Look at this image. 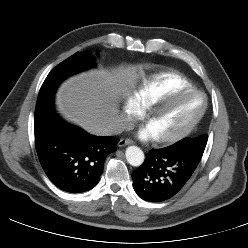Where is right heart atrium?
Returning <instances> with one entry per match:
<instances>
[{"label":"right heart atrium","mask_w":248,"mask_h":248,"mask_svg":"<svg viewBox=\"0 0 248 248\" xmlns=\"http://www.w3.org/2000/svg\"><path fill=\"white\" fill-rule=\"evenodd\" d=\"M125 126L130 127L142 114V107L134 96H129L124 103Z\"/></svg>","instance_id":"d8ad5b80"}]
</instances>
